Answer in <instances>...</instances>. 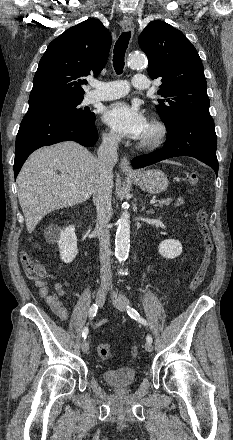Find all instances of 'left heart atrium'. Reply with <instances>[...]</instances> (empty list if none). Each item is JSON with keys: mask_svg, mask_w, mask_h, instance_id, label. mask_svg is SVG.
<instances>
[{"mask_svg": "<svg viewBox=\"0 0 233 440\" xmlns=\"http://www.w3.org/2000/svg\"><path fill=\"white\" fill-rule=\"evenodd\" d=\"M103 120L119 135L133 139L142 138L148 127L143 113L126 102L109 105L104 110Z\"/></svg>", "mask_w": 233, "mask_h": 440, "instance_id": "39dd6f15", "label": "left heart atrium"}]
</instances>
